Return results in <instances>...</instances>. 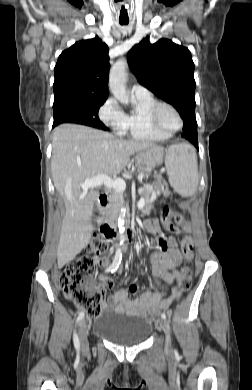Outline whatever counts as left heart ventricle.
<instances>
[{
  "label": "left heart ventricle",
  "instance_id": "left-heart-ventricle-1",
  "mask_svg": "<svg viewBox=\"0 0 252 390\" xmlns=\"http://www.w3.org/2000/svg\"><path fill=\"white\" fill-rule=\"evenodd\" d=\"M161 125L167 130H173L178 127V119L173 111L168 108H164L159 116Z\"/></svg>",
  "mask_w": 252,
  "mask_h": 390
}]
</instances>
